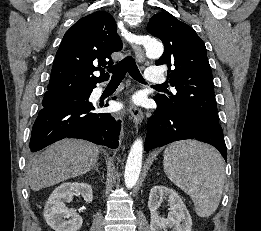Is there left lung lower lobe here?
Masks as SVG:
<instances>
[{
    "mask_svg": "<svg viewBox=\"0 0 261 231\" xmlns=\"http://www.w3.org/2000/svg\"><path fill=\"white\" fill-rule=\"evenodd\" d=\"M156 103L157 110L148 120L145 151L178 140L196 139L217 148L226 160V145L221 129L184 109H169Z\"/></svg>",
    "mask_w": 261,
    "mask_h": 231,
    "instance_id": "obj_1",
    "label": "left lung lower lobe"
}]
</instances>
